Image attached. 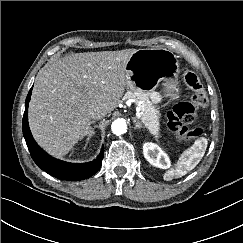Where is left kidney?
<instances>
[{
    "label": "left kidney",
    "instance_id": "left-kidney-1",
    "mask_svg": "<svg viewBox=\"0 0 243 243\" xmlns=\"http://www.w3.org/2000/svg\"><path fill=\"white\" fill-rule=\"evenodd\" d=\"M143 154L146 160L155 167L167 169L171 165L168 155L157 144L145 143Z\"/></svg>",
    "mask_w": 243,
    "mask_h": 243
}]
</instances>
